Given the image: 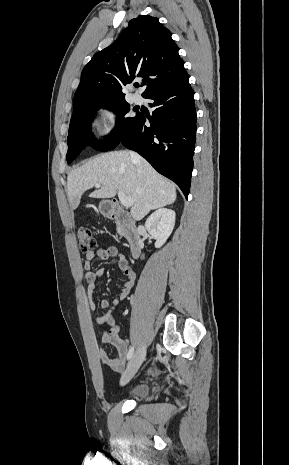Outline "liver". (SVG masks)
Wrapping results in <instances>:
<instances>
[{
    "label": "liver",
    "mask_w": 289,
    "mask_h": 465,
    "mask_svg": "<svg viewBox=\"0 0 289 465\" xmlns=\"http://www.w3.org/2000/svg\"><path fill=\"white\" fill-rule=\"evenodd\" d=\"M96 184H101V188L97 187L90 197L113 198L117 191H122L133 200L131 215L136 221L176 200L175 185L143 158L134 163L128 151L101 154L70 172L67 192L73 210L79 206L83 193Z\"/></svg>",
    "instance_id": "6515ba94"
}]
</instances>
